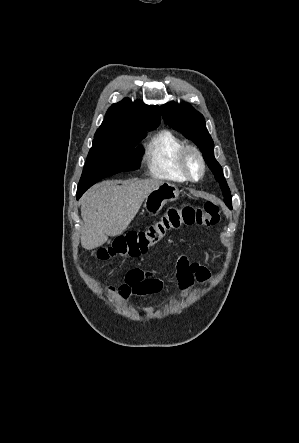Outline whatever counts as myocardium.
Segmentation results:
<instances>
[{
  "label": "myocardium",
  "mask_w": 299,
  "mask_h": 443,
  "mask_svg": "<svg viewBox=\"0 0 299 443\" xmlns=\"http://www.w3.org/2000/svg\"><path fill=\"white\" fill-rule=\"evenodd\" d=\"M195 158L198 163V173L194 174L190 168L189 160ZM180 169L187 180L197 182L201 180L206 171V163L204 157L198 147L194 145H186L180 152L179 156Z\"/></svg>",
  "instance_id": "myocardium-1"
}]
</instances>
